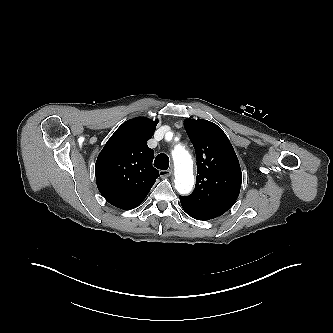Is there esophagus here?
<instances>
[{
	"instance_id": "obj_1",
	"label": "esophagus",
	"mask_w": 333,
	"mask_h": 333,
	"mask_svg": "<svg viewBox=\"0 0 333 333\" xmlns=\"http://www.w3.org/2000/svg\"><path fill=\"white\" fill-rule=\"evenodd\" d=\"M172 173H173L172 169L161 170V171L159 172L160 177H162V178H167V177L171 176Z\"/></svg>"
}]
</instances>
